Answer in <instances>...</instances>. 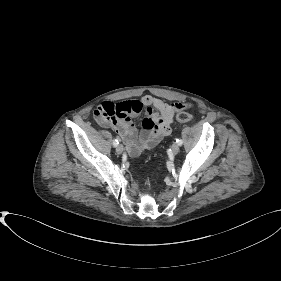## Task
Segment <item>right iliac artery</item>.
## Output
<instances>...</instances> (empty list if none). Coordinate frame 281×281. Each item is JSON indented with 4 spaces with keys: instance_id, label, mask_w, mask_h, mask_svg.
Instances as JSON below:
<instances>
[{
    "instance_id": "obj_1",
    "label": "right iliac artery",
    "mask_w": 281,
    "mask_h": 281,
    "mask_svg": "<svg viewBox=\"0 0 281 281\" xmlns=\"http://www.w3.org/2000/svg\"><path fill=\"white\" fill-rule=\"evenodd\" d=\"M118 144H119L118 139H114V140H113V145H114V147H116Z\"/></svg>"
}]
</instances>
